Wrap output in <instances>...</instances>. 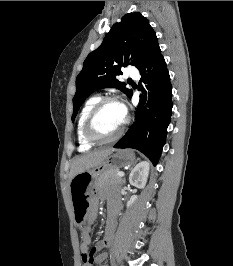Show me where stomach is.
Returning a JSON list of instances; mask_svg holds the SVG:
<instances>
[{
	"label": "stomach",
	"mask_w": 233,
	"mask_h": 266,
	"mask_svg": "<svg viewBox=\"0 0 233 266\" xmlns=\"http://www.w3.org/2000/svg\"><path fill=\"white\" fill-rule=\"evenodd\" d=\"M131 154L126 150H113L96 167L75 175L70 181V194L73 207L74 220L81 227L85 225L86 214L90 201L97 189V179L102 172L119 170L130 165Z\"/></svg>",
	"instance_id": "1"
}]
</instances>
